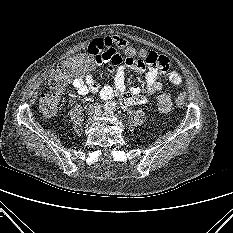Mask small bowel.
Listing matches in <instances>:
<instances>
[{"mask_svg": "<svg viewBox=\"0 0 233 233\" xmlns=\"http://www.w3.org/2000/svg\"><path fill=\"white\" fill-rule=\"evenodd\" d=\"M126 41L118 36L102 37L95 39L89 46L88 51L94 53L98 58L97 64L105 63L109 70L114 73V82L111 85L100 87L90 73L85 76H78L72 80V85L80 95L99 93L104 100L116 97L120 99L123 108L134 105H145L149 98L162 89V83L158 80L159 76L168 73L169 80L174 84L181 82V76L175 71H169V60L162 55L154 52H146L147 57L153 60L161 61L163 66H149L146 72L147 89L144 93L139 87H131L126 91L125 69L130 67L141 72L146 70V65L131 62L117 51V48H123Z\"/></svg>", "mask_w": 233, "mask_h": 233, "instance_id": "1", "label": "small bowel"}]
</instances>
